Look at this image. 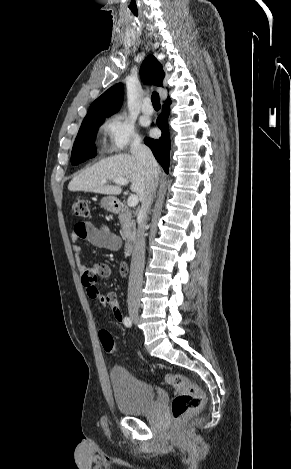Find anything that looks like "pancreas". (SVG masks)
Returning a JSON list of instances; mask_svg holds the SVG:
<instances>
[{
    "instance_id": "1",
    "label": "pancreas",
    "mask_w": 291,
    "mask_h": 469,
    "mask_svg": "<svg viewBox=\"0 0 291 469\" xmlns=\"http://www.w3.org/2000/svg\"><path fill=\"white\" fill-rule=\"evenodd\" d=\"M119 221L121 224L120 234L122 238L129 242L133 241L135 236V225L134 221L132 220L131 211L127 208V206L122 207V211L119 215Z\"/></svg>"
}]
</instances>
